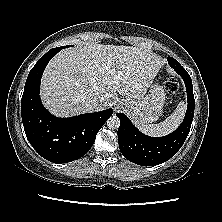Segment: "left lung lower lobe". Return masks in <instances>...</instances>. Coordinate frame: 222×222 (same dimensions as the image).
Instances as JSON below:
<instances>
[{
  "instance_id": "left-lung-lower-lobe-1",
  "label": "left lung lower lobe",
  "mask_w": 222,
  "mask_h": 222,
  "mask_svg": "<svg viewBox=\"0 0 222 222\" xmlns=\"http://www.w3.org/2000/svg\"><path fill=\"white\" fill-rule=\"evenodd\" d=\"M169 65L183 78L187 90L188 106L182 124L171 134L164 137H150L142 134L122 113L118 142L121 153L129 161L143 166H154L169 160L185 142L194 117V95L190 75L176 60Z\"/></svg>"
}]
</instances>
